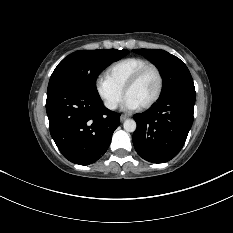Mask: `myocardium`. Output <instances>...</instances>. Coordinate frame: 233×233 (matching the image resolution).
Masks as SVG:
<instances>
[{
    "mask_svg": "<svg viewBox=\"0 0 233 233\" xmlns=\"http://www.w3.org/2000/svg\"><path fill=\"white\" fill-rule=\"evenodd\" d=\"M149 70H153L157 77H158V88L157 91L155 93V95L152 97V99H150L147 103H145L144 105L140 106L141 109H148L150 108L152 105H154L160 98L162 92H163V87H164V78H163V74L160 70V68L153 64V63H148L146 65H144L143 67H141L140 69H138L132 76L131 78L127 81L125 87H124V94L125 96L127 95V92L135 85L137 84V82L144 76V74L149 71Z\"/></svg>",
    "mask_w": 233,
    "mask_h": 233,
    "instance_id": "obj_1",
    "label": "myocardium"
}]
</instances>
